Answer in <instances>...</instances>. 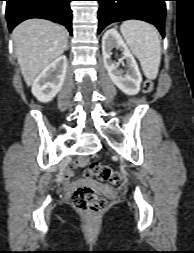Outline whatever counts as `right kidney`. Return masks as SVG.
<instances>
[{
    "label": "right kidney",
    "mask_w": 194,
    "mask_h": 253,
    "mask_svg": "<svg viewBox=\"0 0 194 253\" xmlns=\"http://www.w3.org/2000/svg\"><path fill=\"white\" fill-rule=\"evenodd\" d=\"M67 66L66 56L55 59L33 82L32 94L41 102L51 101L62 88Z\"/></svg>",
    "instance_id": "1"
}]
</instances>
